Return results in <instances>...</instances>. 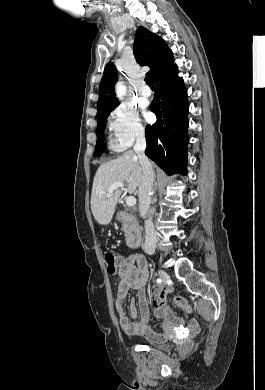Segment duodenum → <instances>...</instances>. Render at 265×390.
I'll list each match as a JSON object with an SVG mask.
<instances>
[{
    "instance_id": "410a0bca",
    "label": "duodenum",
    "mask_w": 265,
    "mask_h": 390,
    "mask_svg": "<svg viewBox=\"0 0 265 390\" xmlns=\"http://www.w3.org/2000/svg\"><path fill=\"white\" fill-rule=\"evenodd\" d=\"M117 220L128 226V234L126 239L127 247L130 249H136L140 247L142 238L139 231L135 228V221L133 216L127 212L120 211L117 214Z\"/></svg>"
}]
</instances>
